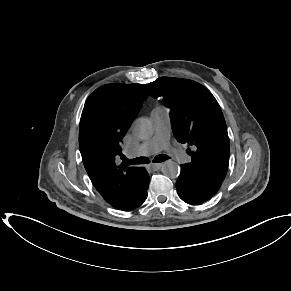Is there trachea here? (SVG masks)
<instances>
[{"mask_svg":"<svg viewBox=\"0 0 291 291\" xmlns=\"http://www.w3.org/2000/svg\"><path fill=\"white\" fill-rule=\"evenodd\" d=\"M169 159V157L167 155L161 154V155H157L153 162H163L165 160ZM123 163L125 165H131V164H145V163H149V160L145 157H138V158H134V159H128L125 156L122 157Z\"/></svg>","mask_w":291,"mask_h":291,"instance_id":"trachea-1","label":"trachea"}]
</instances>
